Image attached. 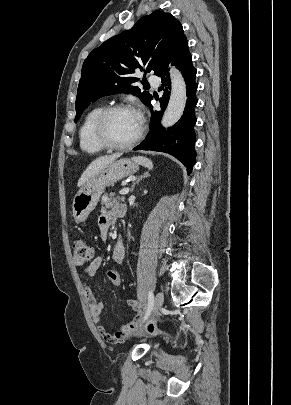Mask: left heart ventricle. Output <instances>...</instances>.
<instances>
[{
  "label": "left heart ventricle",
  "instance_id": "obj_1",
  "mask_svg": "<svg viewBox=\"0 0 291 405\" xmlns=\"http://www.w3.org/2000/svg\"><path fill=\"white\" fill-rule=\"evenodd\" d=\"M141 126L139 115L134 110L114 112L107 122V134L115 143L124 144L131 141Z\"/></svg>",
  "mask_w": 291,
  "mask_h": 405
}]
</instances>
